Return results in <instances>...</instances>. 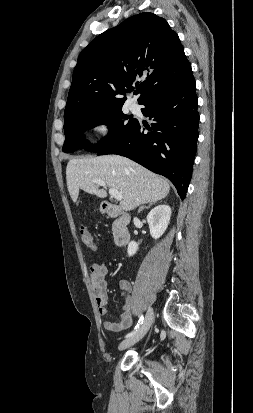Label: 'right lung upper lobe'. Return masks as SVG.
Masks as SVG:
<instances>
[{
    "label": "right lung upper lobe",
    "instance_id": "cb5924a9",
    "mask_svg": "<svg viewBox=\"0 0 253 413\" xmlns=\"http://www.w3.org/2000/svg\"><path fill=\"white\" fill-rule=\"evenodd\" d=\"M178 35L167 21L140 13L98 35L80 53L64 111L72 117L122 107L136 83L138 103L179 84L191 71ZM143 77L142 82L137 81Z\"/></svg>",
    "mask_w": 253,
    "mask_h": 413
}]
</instances>
